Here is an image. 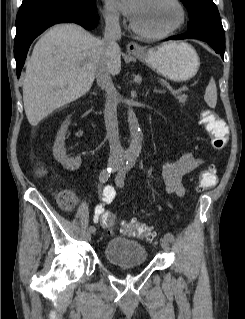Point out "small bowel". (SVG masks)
Returning <instances> with one entry per match:
<instances>
[{
  "mask_svg": "<svg viewBox=\"0 0 245 319\" xmlns=\"http://www.w3.org/2000/svg\"><path fill=\"white\" fill-rule=\"evenodd\" d=\"M200 163V160L190 153L182 154L176 160L165 163L162 166V176L166 192L178 197H183L185 188L182 181L184 177L194 171ZM115 196L116 192L113 187L110 188V195H103V202L94 209V222H98L99 218L105 212V206L111 203L109 202V198L113 197L114 199Z\"/></svg>",
  "mask_w": 245,
  "mask_h": 319,
  "instance_id": "small-bowel-1",
  "label": "small bowel"
}]
</instances>
